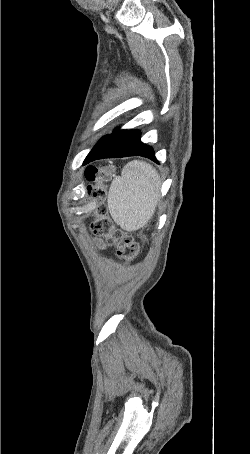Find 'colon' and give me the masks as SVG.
<instances>
[{
  "mask_svg": "<svg viewBox=\"0 0 250 454\" xmlns=\"http://www.w3.org/2000/svg\"><path fill=\"white\" fill-rule=\"evenodd\" d=\"M114 167H90L86 170L88 180L94 182L89 188V195L95 200H102L107 194V183L111 179ZM94 233L103 236L108 245L116 248L117 256L124 263H131L139 252L138 244L131 236L119 228H115L107 215L106 207L100 204L95 211V220L92 224Z\"/></svg>",
  "mask_w": 250,
  "mask_h": 454,
  "instance_id": "5ec220e1",
  "label": "colon"
}]
</instances>
